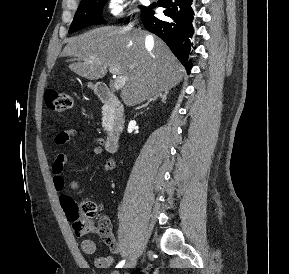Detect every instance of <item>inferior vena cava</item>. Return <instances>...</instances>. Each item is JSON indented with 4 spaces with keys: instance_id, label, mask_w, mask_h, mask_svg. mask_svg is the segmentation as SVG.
Masks as SVG:
<instances>
[{
    "instance_id": "1",
    "label": "inferior vena cava",
    "mask_w": 289,
    "mask_h": 274,
    "mask_svg": "<svg viewBox=\"0 0 289 274\" xmlns=\"http://www.w3.org/2000/svg\"><path fill=\"white\" fill-rule=\"evenodd\" d=\"M146 40H152V37L151 36H147Z\"/></svg>"
}]
</instances>
